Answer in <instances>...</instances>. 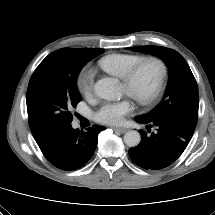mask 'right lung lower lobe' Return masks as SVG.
I'll return each mask as SVG.
<instances>
[{
    "label": "right lung lower lobe",
    "instance_id": "1",
    "mask_svg": "<svg viewBox=\"0 0 215 215\" xmlns=\"http://www.w3.org/2000/svg\"><path fill=\"white\" fill-rule=\"evenodd\" d=\"M105 129L103 126L93 125L84 132L69 125L39 147L55 167L68 171L76 170L83 167L92 157L97 146L98 134Z\"/></svg>",
    "mask_w": 215,
    "mask_h": 215
}]
</instances>
